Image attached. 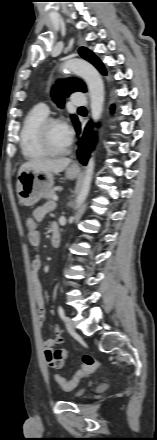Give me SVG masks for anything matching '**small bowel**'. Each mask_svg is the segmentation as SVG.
<instances>
[{"instance_id":"c3829d8e","label":"small bowel","mask_w":157,"mask_h":440,"mask_svg":"<svg viewBox=\"0 0 157 440\" xmlns=\"http://www.w3.org/2000/svg\"><path fill=\"white\" fill-rule=\"evenodd\" d=\"M54 209V204L52 202H47L41 206H38L34 212L33 217L37 222H40L44 217ZM55 226V225H54ZM29 243L37 249L40 244V234L38 231L29 232L28 234ZM42 261L39 255H35L32 260V281L34 288L35 301L37 305L38 312V326L43 328L45 323V313L46 305L43 295L42 284L39 279V270L41 268ZM55 338L47 339L43 342V347L45 351V358L48 365L54 369H61L64 366L65 360L67 359L68 353L65 349L61 348L62 354L60 357H56L52 354L53 347L55 345H60L63 343V338L61 334V328L59 325L54 327Z\"/></svg>"}]
</instances>
